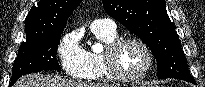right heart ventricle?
I'll return each mask as SVG.
<instances>
[{"instance_id": "right-heart-ventricle-1", "label": "right heart ventricle", "mask_w": 205, "mask_h": 87, "mask_svg": "<svg viewBox=\"0 0 205 87\" xmlns=\"http://www.w3.org/2000/svg\"><path fill=\"white\" fill-rule=\"evenodd\" d=\"M91 32L106 46L118 38L116 31L91 29ZM80 79L87 82H109L113 80L106 69L102 52L86 51V69Z\"/></svg>"}]
</instances>
